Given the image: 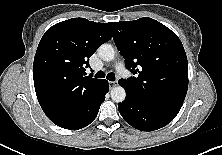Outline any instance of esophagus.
I'll use <instances>...</instances> for the list:
<instances>
[{"mask_svg": "<svg viewBox=\"0 0 222 155\" xmlns=\"http://www.w3.org/2000/svg\"><path fill=\"white\" fill-rule=\"evenodd\" d=\"M109 84L111 87L116 86L117 85V81H109Z\"/></svg>", "mask_w": 222, "mask_h": 155, "instance_id": "1", "label": "esophagus"}]
</instances>
